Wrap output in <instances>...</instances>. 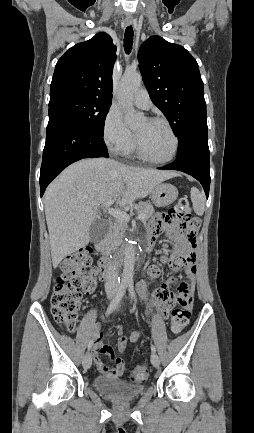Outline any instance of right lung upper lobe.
Segmentation results:
<instances>
[{
    "instance_id": "1",
    "label": "right lung upper lobe",
    "mask_w": 254,
    "mask_h": 433,
    "mask_svg": "<svg viewBox=\"0 0 254 433\" xmlns=\"http://www.w3.org/2000/svg\"><path fill=\"white\" fill-rule=\"evenodd\" d=\"M116 47L106 33L71 47L57 62L50 86V104L66 99L112 102Z\"/></svg>"
}]
</instances>
